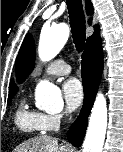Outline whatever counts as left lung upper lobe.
Instances as JSON below:
<instances>
[{"label": "left lung upper lobe", "instance_id": "obj_1", "mask_svg": "<svg viewBox=\"0 0 123 152\" xmlns=\"http://www.w3.org/2000/svg\"><path fill=\"white\" fill-rule=\"evenodd\" d=\"M35 48L31 34H28L20 48L16 60V76L19 82H23L34 68Z\"/></svg>", "mask_w": 123, "mask_h": 152}]
</instances>
